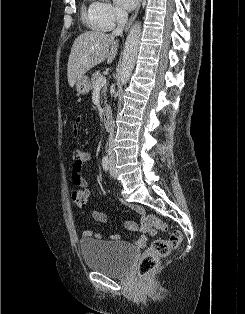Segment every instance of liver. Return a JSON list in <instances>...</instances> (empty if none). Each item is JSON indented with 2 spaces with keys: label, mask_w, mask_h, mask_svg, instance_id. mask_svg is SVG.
I'll list each match as a JSON object with an SVG mask.
<instances>
[{
  "label": "liver",
  "mask_w": 245,
  "mask_h": 314,
  "mask_svg": "<svg viewBox=\"0 0 245 314\" xmlns=\"http://www.w3.org/2000/svg\"><path fill=\"white\" fill-rule=\"evenodd\" d=\"M118 41L112 34L87 31L79 35L71 48L67 65L70 87L91 68L107 59L111 63L117 55Z\"/></svg>",
  "instance_id": "obj_1"
}]
</instances>
